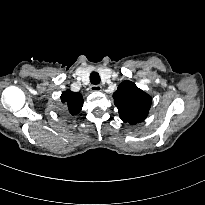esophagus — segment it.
<instances>
[{
	"label": "esophagus",
	"mask_w": 205,
	"mask_h": 205,
	"mask_svg": "<svg viewBox=\"0 0 205 205\" xmlns=\"http://www.w3.org/2000/svg\"><path fill=\"white\" fill-rule=\"evenodd\" d=\"M90 90H91L92 92H100V91L102 90V87H101L100 85H92V86L90 87Z\"/></svg>",
	"instance_id": "esophagus-1"
}]
</instances>
